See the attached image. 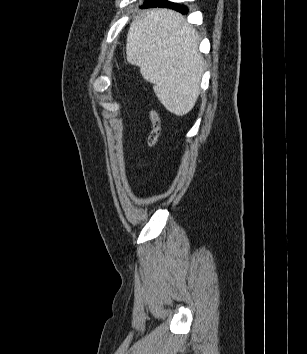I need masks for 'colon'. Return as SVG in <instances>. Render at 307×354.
<instances>
[{
  "label": "colon",
  "instance_id": "1",
  "mask_svg": "<svg viewBox=\"0 0 307 354\" xmlns=\"http://www.w3.org/2000/svg\"><path fill=\"white\" fill-rule=\"evenodd\" d=\"M150 117L152 121V131L149 135L148 141L151 145H154L158 138L159 118L155 111H151Z\"/></svg>",
  "mask_w": 307,
  "mask_h": 354
}]
</instances>
